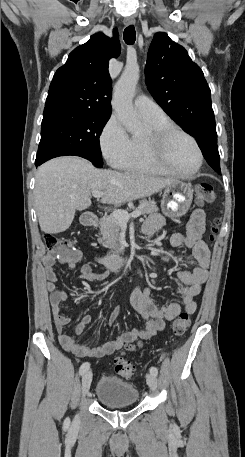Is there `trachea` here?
Wrapping results in <instances>:
<instances>
[{"label":"trachea","mask_w":245,"mask_h":457,"mask_svg":"<svg viewBox=\"0 0 245 457\" xmlns=\"http://www.w3.org/2000/svg\"><path fill=\"white\" fill-rule=\"evenodd\" d=\"M123 38L128 45H132L135 42L136 32L134 25H129L127 28H125Z\"/></svg>","instance_id":"1"}]
</instances>
